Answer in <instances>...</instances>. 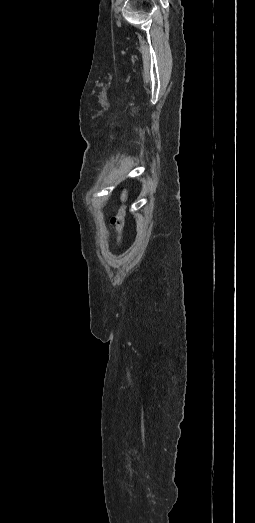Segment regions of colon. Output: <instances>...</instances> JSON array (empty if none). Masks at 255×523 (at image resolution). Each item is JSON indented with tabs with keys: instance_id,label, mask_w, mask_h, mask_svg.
<instances>
[{
	"instance_id": "colon-1",
	"label": "colon",
	"mask_w": 255,
	"mask_h": 523,
	"mask_svg": "<svg viewBox=\"0 0 255 523\" xmlns=\"http://www.w3.org/2000/svg\"><path fill=\"white\" fill-rule=\"evenodd\" d=\"M125 200H126V195H125V193H122L120 195L121 204L119 206V209L111 219L112 224L114 225V227L116 228V230L118 232L119 239L122 238L123 233L125 231V215H126Z\"/></svg>"
}]
</instances>
